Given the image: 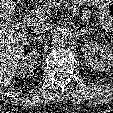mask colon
<instances>
[{
    "label": "colon",
    "instance_id": "5ec220e1",
    "mask_svg": "<svg viewBox=\"0 0 113 113\" xmlns=\"http://www.w3.org/2000/svg\"><path fill=\"white\" fill-rule=\"evenodd\" d=\"M103 13L107 16L108 19L113 20V3L105 5Z\"/></svg>",
    "mask_w": 113,
    "mask_h": 113
}]
</instances>
